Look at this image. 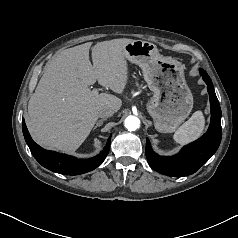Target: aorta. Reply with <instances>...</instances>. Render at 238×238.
I'll return each mask as SVG.
<instances>
[{
  "mask_svg": "<svg viewBox=\"0 0 238 238\" xmlns=\"http://www.w3.org/2000/svg\"><path fill=\"white\" fill-rule=\"evenodd\" d=\"M124 124L129 131H135L140 127V120L138 117L130 115L125 119Z\"/></svg>",
  "mask_w": 238,
  "mask_h": 238,
  "instance_id": "obj_1",
  "label": "aorta"
}]
</instances>
